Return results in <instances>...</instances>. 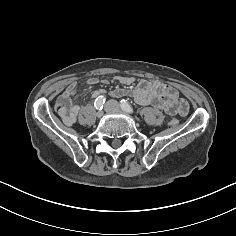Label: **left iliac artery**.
Wrapping results in <instances>:
<instances>
[{
  "mask_svg": "<svg viewBox=\"0 0 236 236\" xmlns=\"http://www.w3.org/2000/svg\"><path fill=\"white\" fill-rule=\"evenodd\" d=\"M120 106H121V108L124 110V111H126V112H128V113H130V114H132V113H134V109L132 108V106L127 102V100H121L120 101Z\"/></svg>",
  "mask_w": 236,
  "mask_h": 236,
  "instance_id": "44dca946",
  "label": "left iliac artery"
}]
</instances>
